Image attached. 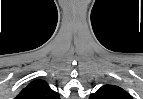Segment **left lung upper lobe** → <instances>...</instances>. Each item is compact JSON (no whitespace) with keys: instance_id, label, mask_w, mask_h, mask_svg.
<instances>
[{"instance_id":"1","label":"left lung upper lobe","mask_w":143,"mask_h":99,"mask_svg":"<svg viewBox=\"0 0 143 99\" xmlns=\"http://www.w3.org/2000/svg\"><path fill=\"white\" fill-rule=\"evenodd\" d=\"M89 99H132V96L119 86L107 84L91 94Z\"/></svg>"}]
</instances>
